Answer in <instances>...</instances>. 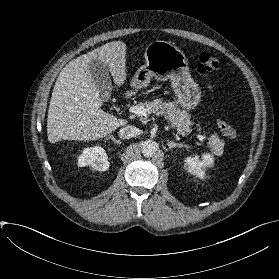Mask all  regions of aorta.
I'll return each instance as SVG.
<instances>
[{
  "label": "aorta",
  "mask_w": 279,
  "mask_h": 279,
  "mask_svg": "<svg viewBox=\"0 0 279 279\" xmlns=\"http://www.w3.org/2000/svg\"><path fill=\"white\" fill-rule=\"evenodd\" d=\"M141 150L145 157H153L157 152V143L153 140H146L142 143Z\"/></svg>",
  "instance_id": "1"
}]
</instances>
